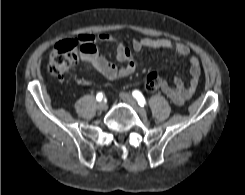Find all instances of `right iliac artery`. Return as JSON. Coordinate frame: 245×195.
<instances>
[{"mask_svg":"<svg viewBox=\"0 0 245 195\" xmlns=\"http://www.w3.org/2000/svg\"><path fill=\"white\" fill-rule=\"evenodd\" d=\"M96 99H97V101H102V99H103V93H98L97 95H96Z\"/></svg>","mask_w":245,"mask_h":195,"instance_id":"right-iliac-artery-1","label":"right iliac artery"}]
</instances>
